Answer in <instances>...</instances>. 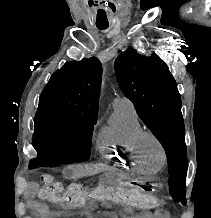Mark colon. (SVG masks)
Instances as JSON below:
<instances>
[{"mask_svg":"<svg viewBox=\"0 0 211 218\" xmlns=\"http://www.w3.org/2000/svg\"><path fill=\"white\" fill-rule=\"evenodd\" d=\"M40 196L53 203L62 204H81L96 200L138 209H155L161 206L160 199L141 186L101 184L88 187L78 183L65 186L48 173L41 176Z\"/></svg>","mask_w":211,"mask_h":218,"instance_id":"5ec220e1","label":"colon"}]
</instances>
